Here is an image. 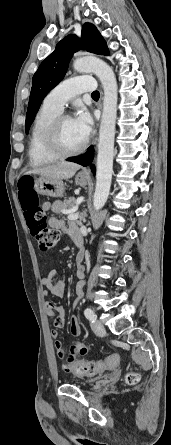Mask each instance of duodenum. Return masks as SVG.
<instances>
[{"label":"duodenum","instance_id":"410a0bca","mask_svg":"<svg viewBox=\"0 0 171 445\" xmlns=\"http://www.w3.org/2000/svg\"><path fill=\"white\" fill-rule=\"evenodd\" d=\"M73 238H74V241H75L76 246H77L79 249H82V248L84 247V240H83V238L81 237V235H75ZM78 260H79V261H82V260H83V254H82V253L79 254Z\"/></svg>","mask_w":171,"mask_h":445}]
</instances>
